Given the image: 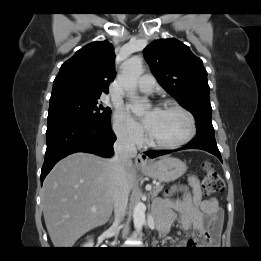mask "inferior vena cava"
Here are the masks:
<instances>
[{
  "label": "inferior vena cava",
  "instance_id": "obj_1",
  "mask_svg": "<svg viewBox=\"0 0 261 261\" xmlns=\"http://www.w3.org/2000/svg\"><path fill=\"white\" fill-rule=\"evenodd\" d=\"M137 154L135 141L127 133L120 134L114 143L113 165V205L114 226H119L128 204L130 188L126 180V170L132 165V158Z\"/></svg>",
  "mask_w": 261,
  "mask_h": 261
}]
</instances>
